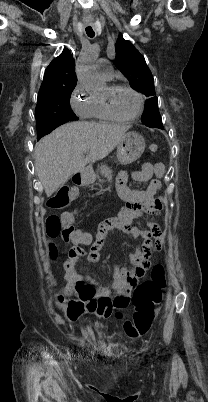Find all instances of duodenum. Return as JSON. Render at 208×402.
Returning <instances> with one entry per match:
<instances>
[{
    "label": "duodenum",
    "instance_id": "410a0bca",
    "mask_svg": "<svg viewBox=\"0 0 208 402\" xmlns=\"http://www.w3.org/2000/svg\"><path fill=\"white\" fill-rule=\"evenodd\" d=\"M87 172L86 171H79L73 176V182L76 185H83L87 180Z\"/></svg>",
    "mask_w": 208,
    "mask_h": 402
}]
</instances>
